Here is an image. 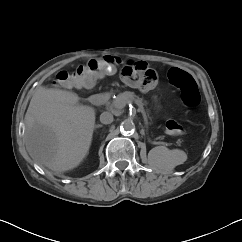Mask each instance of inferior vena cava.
<instances>
[{
    "mask_svg": "<svg viewBox=\"0 0 242 242\" xmlns=\"http://www.w3.org/2000/svg\"><path fill=\"white\" fill-rule=\"evenodd\" d=\"M113 120H114L113 115L110 112L106 111L100 115V122L102 124H110L113 122Z\"/></svg>",
    "mask_w": 242,
    "mask_h": 242,
    "instance_id": "obj_1",
    "label": "inferior vena cava"
}]
</instances>
